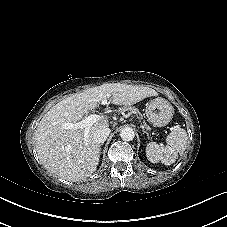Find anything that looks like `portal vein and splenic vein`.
Listing matches in <instances>:
<instances>
[{"instance_id": "1", "label": "portal vein and splenic vein", "mask_w": 227, "mask_h": 227, "mask_svg": "<svg viewBox=\"0 0 227 227\" xmlns=\"http://www.w3.org/2000/svg\"><path fill=\"white\" fill-rule=\"evenodd\" d=\"M100 119H103L102 116L97 115V114H91L78 123H67V124H65V128H74V129L85 128V129H89L94 123H96Z\"/></svg>"}]
</instances>
